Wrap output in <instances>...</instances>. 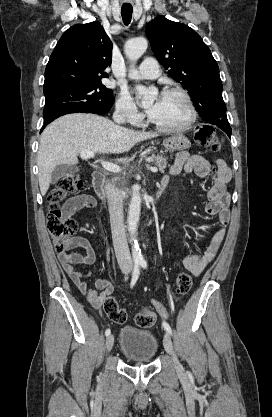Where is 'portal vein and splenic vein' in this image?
<instances>
[{
    "instance_id": "portal-vein-and-splenic-vein-1",
    "label": "portal vein and splenic vein",
    "mask_w": 272,
    "mask_h": 417,
    "mask_svg": "<svg viewBox=\"0 0 272 417\" xmlns=\"http://www.w3.org/2000/svg\"><path fill=\"white\" fill-rule=\"evenodd\" d=\"M94 155H95V153L91 152V151H82L80 153V157L82 159L93 158ZM101 165L105 170H107L109 172H113V173H120L121 172V167L114 164V163H110V162H107V161H101ZM150 170L154 173L158 171V169L156 167H150Z\"/></svg>"
}]
</instances>
